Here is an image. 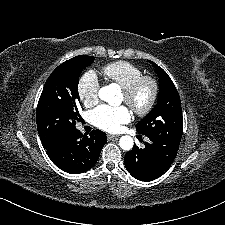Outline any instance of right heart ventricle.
<instances>
[{"instance_id":"obj_1","label":"right heart ventricle","mask_w":225,"mask_h":225,"mask_svg":"<svg viewBox=\"0 0 225 225\" xmlns=\"http://www.w3.org/2000/svg\"><path fill=\"white\" fill-rule=\"evenodd\" d=\"M102 73L107 79L118 84L123 89L136 78L142 76L143 71L137 65L120 60L103 66Z\"/></svg>"}]
</instances>
